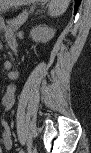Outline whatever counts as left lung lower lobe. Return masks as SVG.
Here are the masks:
<instances>
[{
    "label": "left lung lower lobe",
    "mask_w": 91,
    "mask_h": 153,
    "mask_svg": "<svg viewBox=\"0 0 91 153\" xmlns=\"http://www.w3.org/2000/svg\"><path fill=\"white\" fill-rule=\"evenodd\" d=\"M75 3H76V5H75V9H76L77 5L80 3V0H75Z\"/></svg>",
    "instance_id": "obj_1"
}]
</instances>
